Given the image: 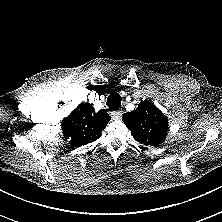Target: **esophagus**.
Segmentation results:
<instances>
[{
  "instance_id": "obj_1",
  "label": "esophagus",
  "mask_w": 222,
  "mask_h": 222,
  "mask_svg": "<svg viewBox=\"0 0 222 222\" xmlns=\"http://www.w3.org/2000/svg\"><path fill=\"white\" fill-rule=\"evenodd\" d=\"M111 115H112L113 119L119 120L122 116V112L121 111H113V112H111Z\"/></svg>"
}]
</instances>
